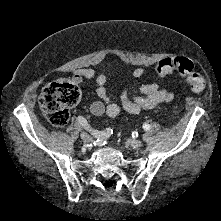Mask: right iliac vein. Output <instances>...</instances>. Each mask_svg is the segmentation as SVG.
Returning a JSON list of instances; mask_svg holds the SVG:
<instances>
[{"instance_id": "obj_1", "label": "right iliac vein", "mask_w": 221, "mask_h": 221, "mask_svg": "<svg viewBox=\"0 0 221 221\" xmlns=\"http://www.w3.org/2000/svg\"><path fill=\"white\" fill-rule=\"evenodd\" d=\"M81 138L85 143H88L91 141V136L87 134L86 132H81Z\"/></svg>"}]
</instances>
